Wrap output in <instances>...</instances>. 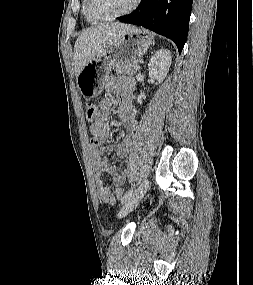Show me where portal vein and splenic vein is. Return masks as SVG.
Returning a JSON list of instances; mask_svg holds the SVG:
<instances>
[{
	"label": "portal vein and splenic vein",
	"mask_w": 253,
	"mask_h": 285,
	"mask_svg": "<svg viewBox=\"0 0 253 285\" xmlns=\"http://www.w3.org/2000/svg\"><path fill=\"white\" fill-rule=\"evenodd\" d=\"M134 68H135L136 70H138V69L140 68V66H139V65H136Z\"/></svg>",
	"instance_id": "portal-vein-and-splenic-vein-1"
}]
</instances>
